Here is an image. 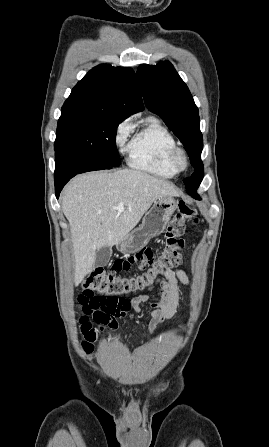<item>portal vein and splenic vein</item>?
I'll use <instances>...</instances> for the list:
<instances>
[{"label": "portal vein and splenic vein", "mask_w": 269, "mask_h": 447, "mask_svg": "<svg viewBox=\"0 0 269 447\" xmlns=\"http://www.w3.org/2000/svg\"><path fill=\"white\" fill-rule=\"evenodd\" d=\"M116 210H118V212H124L125 208H124V202H120L119 206H117Z\"/></svg>", "instance_id": "1"}]
</instances>
